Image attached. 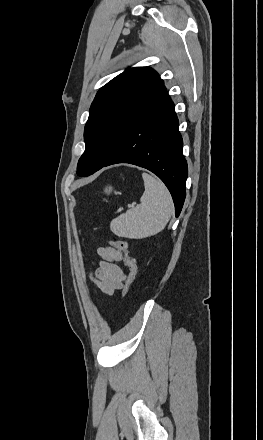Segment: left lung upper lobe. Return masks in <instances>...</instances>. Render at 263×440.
<instances>
[{"label":"left lung upper lobe","mask_w":263,"mask_h":440,"mask_svg":"<svg viewBox=\"0 0 263 440\" xmlns=\"http://www.w3.org/2000/svg\"><path fill=\"white\" fill-rule=\"evenodd\" d=\"M164 85L149 67L126 69L96 94L85 125V151L77 165L79 176H88L113 156L133 119Z\"/></svg>","instance_id":"1"}]
</instances>
